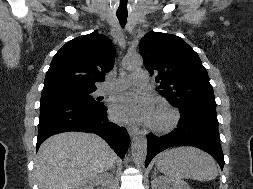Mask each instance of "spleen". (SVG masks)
Instances as JSON below:
<instances>
[{
  "mask_svg": "<svg viewBox=\"0 0 253 189\" xmlns=\"http://www.w3.org/2000/svg\"><path fill=\"white\" fill-rule=\"evenodd\" d=\"M156 167L171 179L214 180L218 175L215 160L206 152L181 146L160 153Z\"/></svg>",
  "mask_w": 253,
  "mask_h": 189,
  "instance_id": "1",
  "label": "spleen"
}]
</instances>
